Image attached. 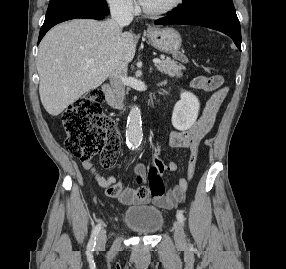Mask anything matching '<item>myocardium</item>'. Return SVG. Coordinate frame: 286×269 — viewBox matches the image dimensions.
<instances>
[{
  "label": "myocardium",
  "instance_id": "obj_1",
  "mask_svg": "<svg viewBox=\"0 0 286 269\" xmlns=\"http://www.w3.org/2000/svg\"><path fill=\"white\" fill-rule=\"evenodd\" d=\"M182 2L183 0H173L165 7L156 10L148 9L141 3V10L147 16L158 17L174 11Z\"/></svg>",
  "mask_w": 286,
  "mask_h": 269
}]
</instances>
